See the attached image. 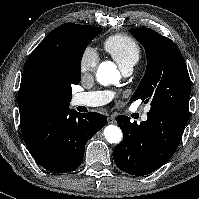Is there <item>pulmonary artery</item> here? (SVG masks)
Instances as JSON below:
<instances>
[{"label": "pulmonary artery", "instance_id": "e3ab8cb5", "mask_svg": "<svg viewBox=\"0 0 199 199\" xmlns=\"http://www.w3.org/2000/svg\"><path fill=\"white\" fill-rule=\"evenodd\" d=\"M125 76H128L132 72V67H126L122 69ZM112 98V93L107 91H92V92H82L77 93L73 96L71 104L72 106H87L95 107L106 104ZM148 108L146 112L142 114V121H146Z\"/></svg>", "mask_w": 199, "mask_h": 199}]
</instances>
